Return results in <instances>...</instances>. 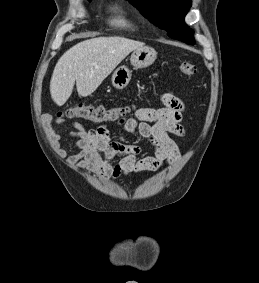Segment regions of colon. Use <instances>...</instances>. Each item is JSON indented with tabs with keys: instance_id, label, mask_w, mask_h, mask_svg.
Returning a JSON list of instances; mask_svg holds the SVG:
<instances>
[{
	"instance_id": "obj_1",
	"label": "colon",
	"mask_w": 259,
	"mask_h": 283,
	"mask_svg": "<svg viewBox=\"0 0 259 283\" xmlns=\"http://www.w3.org/2000/svg\"><path fill=\"white\" fill-rule=\"evenodd\" d=\"M179 72L186 76L196 73V66L191 62H181L178 66ZM129 112L126 106H93L83 103L74 104L59 112L58 116L69 119H83L92 123L115 122L122 119Z\"/></svg>"
}]
</instances>
